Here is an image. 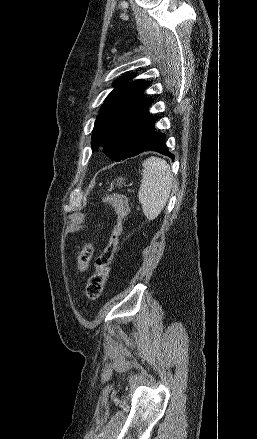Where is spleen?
Masks as SVG:
<instances>
[{
	"mask_svg": "<svg viewBox=\"0 0 257 439\" xmlns=\"http://www.w3.org/2000/svg\"><path fill=\"white\" fill-rule=\"evenodd\" d=\"M143 174L138 192L143 213L150 221L158 217L169 198L173 176L168 163L158 157H150L143 163Z\"/></svg>",
	"mask_w": 257,
	"mask_h": 439,
	"instance_id": "obj_1",
	"label": "spleen"
}]
</instances>
